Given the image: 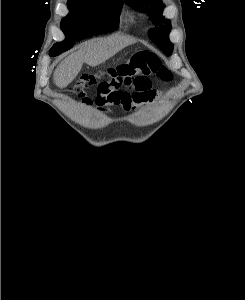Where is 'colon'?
<instances>
[{
    "label": "colon",
    "instance_id": "colon-1",
    "mask_svg": "<svg viewBox=\"0 0 245 300\" xmlns=\"http://www.w3.org/2000/svg\"><path fill=\"white\" fill-rule=\"evenodd\" d=\"M153 74L164 82L172 80V73L163 64L160 57L154 52L140 51L132 55L126 62L108 70H99L81 75L74 90L81 94L107 78H119L126 86L142 75Z\"/></svg>",
    "mask_w": 245,
    "mask_h": 300
}]
</instances>
